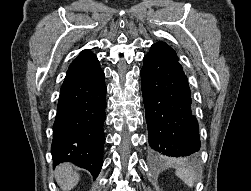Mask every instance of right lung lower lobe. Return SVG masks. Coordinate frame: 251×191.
<instances>
[{
	"mask_svg": "<svg viewBox=\"0 0 251 191\" xmlns=\"http://www.w3.org/2000/svg\"><path fill=\"white\" fill-rule=\"evenodd\" d=\"M104 73L61 89L53 126V164L72 162L95 179L103 164L107 92Z\"/></svg>",
	"mask_w": 251,
	"mask_h": 191,
	"instance_id": "98d812e1",
	"label": "right lung lower lobe"
}]
</instances>
